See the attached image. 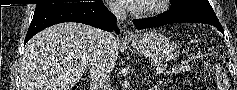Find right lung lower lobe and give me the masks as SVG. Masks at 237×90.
Listing matches in <instances>:
<instances>
[{
	"label": "right lung lower lobe",
	"instance_id": "obj_1",
	"mask_svg": "<svg viewBox=\"0 0 237 90\" xmlns=\"http://www.w3.org/2000/svg\"><path fill=\"white\" fill-rule=\"evenodd\" d=\"M62 22H79L112 31L115 26V16L109 12L102 1L72 3L34 12L24 45L39 31ZM116 32L119 34L118 29Z\"/></svg>",
	"mask_w": 237,
	"mask_h": 90
}]
</instances>
